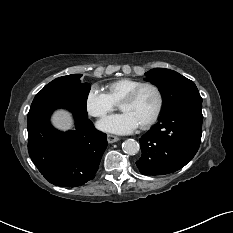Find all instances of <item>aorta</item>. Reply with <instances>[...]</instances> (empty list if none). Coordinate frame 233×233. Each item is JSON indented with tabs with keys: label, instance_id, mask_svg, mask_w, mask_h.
<instances>
[{
	"label": "aorta",
	"instance_id": "aorta-1",
	"mask_svg": "<svg viewBox=\"0 0 233 233\" xmlns=\"http://www.w3.org/2000/svg\"><path fill=\"white\" fill-rule=\"evenodd\" d=\"M123 151L128 155H135L139 152V143L134 139H127L122 144Z\"/></svg>",
	"mask_w": 233,
	"mask_h": 233
}]
</instances>
